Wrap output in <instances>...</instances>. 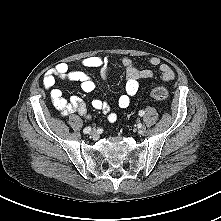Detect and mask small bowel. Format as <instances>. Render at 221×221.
<instances>
[{"label": "small bowel", "mask_w": 221, "mask_h": 221, "mask_svg": "<svg viewBox=\"0 0 221 221\" xmlns=\"http://www.w3.org/2000/svg\"><path fill=\"white\" fill-rule=\"evenodd\" d=\"M149 62L152 66L159 68L162 81L169 82L175 78L173 69L168 64L162 63L158 57L150 58ZM122 64L126 68V92L119 96L118 106L125 109L129 106L131 98L138 92L139 80L151 79L154 77V73L151 69L139 68L129 57H124ZM81 65L87 68H100L103 80H107L111 74L110 60L107 56L87 57L81 61ZM57 78L66 82L79 83L81 89L87 93L96 88L92 78L85 72L70 69L66 63H60L54 69L49 70L43 79L44 88L50 91L52 104L61 112V115L67 116L77 113L85 118H90L86 104L80 97L72 96L69 100L63 97L62 91L55 86ZM92 106L106 113L109 122L113 123L117 120L116 113L110 112L108 105L101 99L94 98Z\"/></svg>", "instance_id": "obj_1"}]
</instances>
